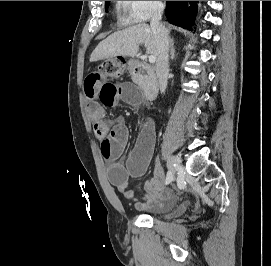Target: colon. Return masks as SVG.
I'll list each match as a JSON object with an SVG mask.
<instances>
[{
    "label": "colon",
    "instance_id": "colon-1",
    "mask_svg": "<svg viewBox=\"0 0 271 266\" xmlns=\"http://www.w3.org/2000/svg\"><path fill=\"white\" fill-rule=\"evenodd\" d=\"M100 69L107 77H119L123 74L124 63L120 59H109L101 64Z\"/></svg>",
    "mask_w": 271,
    "mask_h": 266
}]
</instances>
